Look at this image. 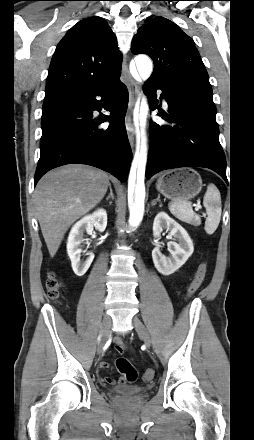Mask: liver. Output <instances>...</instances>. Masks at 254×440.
<instances>
[{
	"label": "liver",
	"instance_id": "1",
	"mask_svg": "<svg viewBox=\"0 0 254 440\" xmlns=\"http://www.w3.org/2000/svg\"><path fill=\"white\" fill-rule=\"evenodd\" d=\"M109 176L86 165H65L46 173L34 191L36 216L51 257L68 228L105 196Z\"/></svg>",
	"mask_w": 254,
	"mask_h": 440
}]
</instances>
